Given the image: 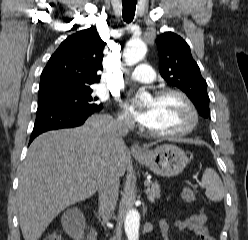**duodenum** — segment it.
<instances>
[{
  "label": "duodenum",
  "instance_id": "1",
  "mask_svg": "<svg viewBox=\"0 0 248 240\" xmlns=\"http://www.w3.org/2000/svg\"><path fill=\"white\" fill-rule=\"evenodd\" d=\"M83 232L85 234V240H97V233L93 228L83 225Z\"/></svg>",
  "mask_w": 248,
  "mask_h": 240
}]
</instances>
